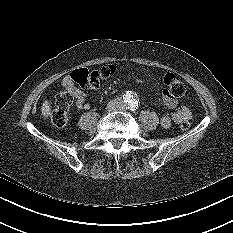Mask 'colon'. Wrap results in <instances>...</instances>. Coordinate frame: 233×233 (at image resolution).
I'll return each instance as SVG.
<instances>
[{"instance_id": "obj_1", "label": "colon", "mask_w": 233, "mask_h": 233, "mask_svg": "<svg viewBox=\"0 0 233 233\" xmlns=\"http://www.w3.org/2000/svg\"><path fill=\"white\" fill-rule=\"evenodd\" d=\"M116 72L114 65H103L98 69L81 68L70 74V80L81 87L96 89L103 80L109 79ZM164 92L172 98H181L186 94L185 84L174 74L168 73L163 79ZM73 103L71 94L63 91L57 94L55 104L50 111V120L56 127H63L68 121V115ZM181 129L187 130L190 127L188 121L180 125Z\"/></svg>"}]
</instances>
